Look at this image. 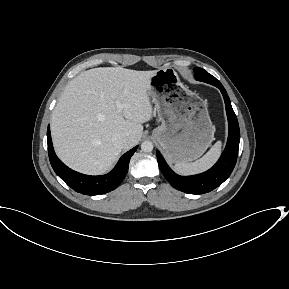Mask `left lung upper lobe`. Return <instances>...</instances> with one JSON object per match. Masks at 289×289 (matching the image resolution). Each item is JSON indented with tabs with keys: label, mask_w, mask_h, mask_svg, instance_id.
Masks as SVG:
<instances>
[{
	"label": "left lung upper lobe",
	"mask_w": 289,
	"mask_h": 289,
	"mask_svg": "<svg viewBox=\"0 0 289 289\" xmlns=\"http://www.w3.org/2000/svg\"><path fill=\"white\" fill-rule=\"evenodd\" d=\"M194 76H195L196 80L209 83V84L214 85L216 87L222 85L220 83V81L217 80L214 76H212L207 71H205L204 69L199 68V67L194 69Z\"/></svg>",
	"instance_id": "5c2ea615"
}]
</instances>
